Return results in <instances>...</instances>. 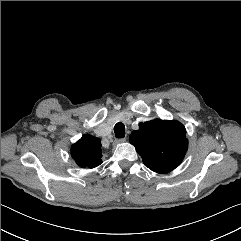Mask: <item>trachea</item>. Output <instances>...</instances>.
Returning a JSON list of instances; mask_svg holds the SVG:
<instances>
[{
	"label": "trachea",
	"instance_id": "1",
	"mask_svg": "<svg viewBox=\"0 0 241 241\" xmlns=\"http://www.w3.org/2000/svg\"><path fill=\"white\" fill-rule=\"evenodd\" d=\"M115 136L117 138L125 137V126L123 123L119 122L114 126Z\"/></svg>",
	"mask_w": 241,
	"mask_h": 241
}]
</instances>
